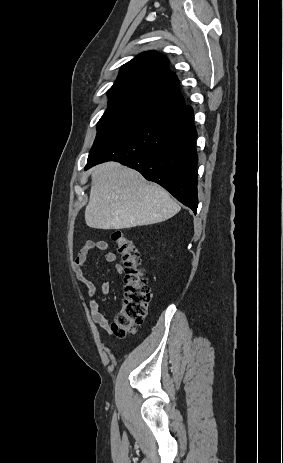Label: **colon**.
I'll return each instance as SVG.
<instances>
[{
  "mask_svg": "<svg viewBox=\"0 0 283 463\" xmlns=\"http://www.w3.org/2000/svg\"><path fill=\"white\" fill-rule=\"evenodd\" d=\"M112 240L124 264L125 285L124 300L111 324V331L118 337H125L144 321L151 294L132 239L117 230L113 232Z\"/></svg>",
  "mask_w": 283,
  "mask_h": 463,
  "instance_id": "colon-1",
  "label": "colon"
}]
</instances>
